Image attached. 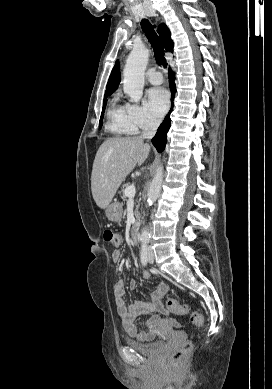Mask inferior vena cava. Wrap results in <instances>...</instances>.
Instances as JSON below:
<instances>
[{"label":"inferior vena cava","instance_id":"inferior-vena-cava-1","mask_svg":"<svg viewBox=\"0 0 272 389\" xmlns=\"http://www.w3.org/2000/svg\"><path fill=\"white\" fill-rule=\"evenodd\" d=\"M160 121L157 119H149L143 127L142 138L151 139L158 128Z\"/></svg>","mask_w":272,"mask_h":389}]
</instances>
